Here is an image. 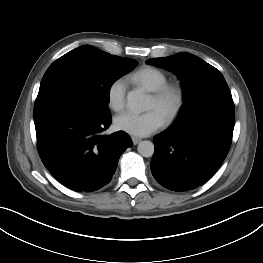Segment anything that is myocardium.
I'll return each mask as SVG.
<instances>
[{"label": "myocardium", "mask_w": 263, "mask_h": 263, "mask_svg": "<svg viewBox=\"0 0 263 263\" xmlns=\"http://www.w3.org/2000/svg\"><path fill=\"white\" fill-rule=\"evenodd\" d=\"M152 98L162 109L165 122L171 123L181 113L185 105L186 93L181 85L167 83L153 91Z\"/></svg>", "instance_id": "obj_1"}]
</instances>
